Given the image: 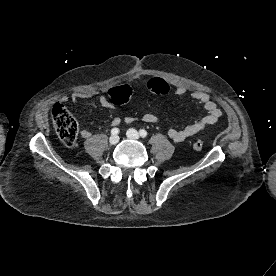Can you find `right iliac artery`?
Instances as JSON below:
<instances>
[{"instance_id": "obj_1", "label": "right iliac artery", "mask_w": 276, "mask_h": 276, "mask_svg": "<svg viewBox=\"0 0 276 276\" xmlns=\"http://www.w3.org/2000/svg\"><path fill=\"white\" fill-rule=\"evenodd\" d=\"M119 133V129L118 128H113L112 130H111V134L112 135H117Z\"/></svg>"}]
</instances>
